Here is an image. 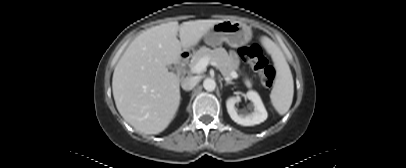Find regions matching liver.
Listing matches in <instances>:
<instances>
[{
    "label": "liver",
    "mask_w": 406,
    "mask_h": 168,
    "mask_svg": "<svg viewBox=\"0 0 406 168\" xmlns=\"http://www.w3.org/2000/svg\"><path fill=\"white\" fill-rule=\"evenodd\" d=\"M222 21L168 22L130 43L112 78L115 104L126 122L144 134H158L168 127L180 104V80L167 66L179 62L183 51L197 45Z\"/></svg>",
    "instance_id": "1"
}]
</instances>
